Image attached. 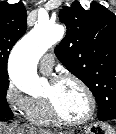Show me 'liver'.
<instances>
[{
  "mask_svg": "<svg viewBox=\"0 0 116 134\" xmlns=\"http://www.w3.org/2000/svg\"><path fill=\"white\" fill-rule=\"evenodd\" d=\"M0 134H48L45 131H36L32 128H25L20 126H8L0 122Z\"/></svg>",
  "mask_w": 116,
  "mask_h": 134,
  "instance_id": "1",
  "label": "liver"
}]
</instances>
